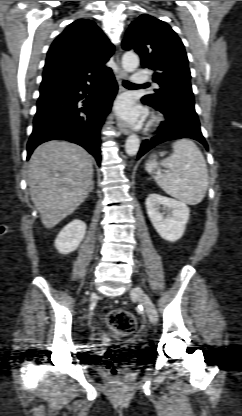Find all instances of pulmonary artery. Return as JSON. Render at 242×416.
I'll return each instance as SVG.
<instances>
[{
  "mask_svg": "<svg viewBox=\"0 0 242 416\" xmlns=\"http://www.w3.org/2000/svg\"><path fill=\"white\" fill-rule=\"evenodd\" d=\"M148 76L144 70H136L133 74L132 81L134 84H141L148 81Z\"/></svg>",
  "mask_w": 242,
  "mask_h": 416,
  "instance_id": "1",
  "label": "pulmonary artery"
}]
</instances>
